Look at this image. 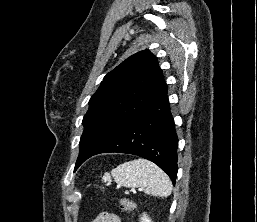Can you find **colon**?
Masks as SVG:
<instances>
[{"instance_id":"5ec220e1","label":"colon","mask_w":257,"mask_h":222,"mask_svg":"<svg viewBox=\"0 0 257 222\" xmlns=\"http://www.w3.org/2000/svg\"><path fill=\"white\" fill-rule=\"evenodd\" d=\"M121 206H122V208H123L124 210H128V201L125 200V199H123V200L121 201Z\"/></svg>"}]
</instances>
